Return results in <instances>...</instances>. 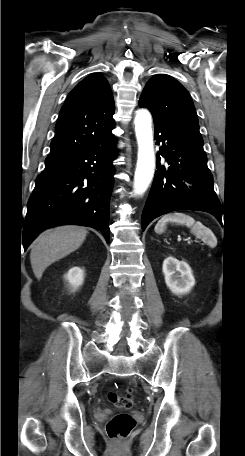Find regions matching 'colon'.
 <instances>
[{
  "instance_id": "5ec220e1",
  "label": "colon",
  "mask_w": 245,
  "mask_h": 456,
  "mask_svg": "<svg viewBox=\"0 0 245 456\" xmlns=\"http://www.w3.org/2000/svg\"><path fill=\"white\" fill-rule=\"evenodd\" d=\"M108 399L112 404L121 409H130L134 404L131 388L125 394L112 391L109 393ZM134 426L135 420L131 415L120 413L109 420L106 425V432L110 438L122 440L130 434Z\"/></svg>"
}]
</instances>
